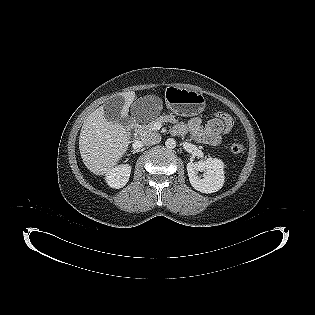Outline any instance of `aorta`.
<instances>
[{
	"label": "aorta",
	"instance_id": "obj_1",
	"mask_svg": "<svg viewBox=\"0 0 315 315\" xmlns=\"http://www.w3.org/2000/svg\"><path fill=\"white\" fill-rule=\"evenodd\" d=\"M165 146L166 148L168 149H174L176 147V141L175 139L173 138H168L166 141H165Z\"/></svg>",
	"mask_w": 315,
	"mask_h": 315
}]
</instances>
